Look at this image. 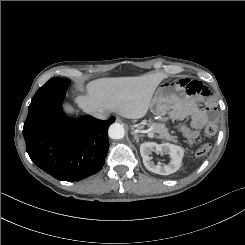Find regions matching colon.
I'll return each instance as SVG.
<instances>
[{
    "label": "colon",
    "instance_id": "5ec220e1",
    "mask_svg": "<svg viewBox=\"0 0 245 245\" xmlns=\"http://www.w3.org/2000/svg\"><path fill=\"white\" fill-rule=\"evenodd\" d=\"M182 131L186 137V139L190 143H194L197 138V133L191 129L186 127H182ZM217 132V126L214 123H208L204 128V133L206 136H213ZM210 150L209 144H202L196 149V156L203 157L205 156Z\"/></svg>",
    "mask_w": 245,
    "mask_h": 245
}]
</instances>
